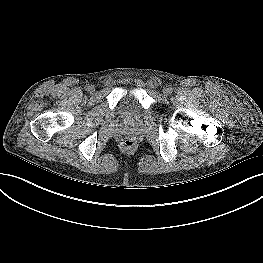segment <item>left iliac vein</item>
Instances as JSON below:
<instances>
[{
    "mask_svg": "<svg viewBox=\"0 0 263 263\" xmlns=\"http://www.w3.org/2000/svg\"><path fill=\"white\" fill-rule=\"evenodd\" d=\"M163 94H164V95L170 94L169 89H168V88H164V89H163Z\"/></svg>",
    "mask_w": 263,
    "mask_h": 263,
    "instance_id": "4c4485c4",
    "label": "left iliac vein"
}]
</instances>
